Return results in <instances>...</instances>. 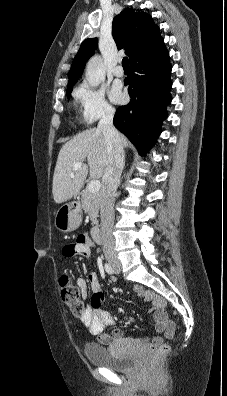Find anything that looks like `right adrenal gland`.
Listing matches in <instances>:
<instances>
[{
	"mask_svg": "<svg viewBox=\"0 0 227 396\" xmlns=\"http://www.w3.org/2000/svg\"><path fill=\"white\" fill-rule=\"evenodd\" d=\"M124 166H125V162H124V164H123V169H124Z\"/></svg>",
	"mask_w": 227,
	"mask_h": 396,
	"instance_id": "right-adrenal-gland-1",
	"label": "right adrenal gland"
}]
</instances>
